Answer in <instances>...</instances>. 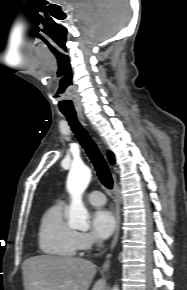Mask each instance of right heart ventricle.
Here are the masks:
<instances>
[{
  "instance_id": "e07e8e85",
  "label": "right heart ventricle",
  "mask_w": 187,
  "mask_h": 290,
  "mask_svg": "<svg viewBox=\"0 0 187 290\" xmlns=\"http://www.w3.org/2000/svg\"><path fill=\"white\" fill-rule=\"evenodd\" d=\"M76 235L64 219L63 203H55L44 212L38 232L42 252L63 258L74 257L79 250Z\"/></svg>"
}]
</instances>
